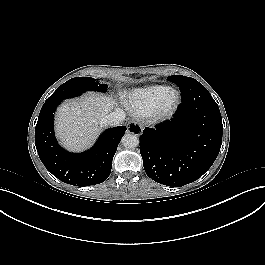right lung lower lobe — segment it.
<instances>
[{
    "mask_svg": "<svg viewBox=\"0 0 265 265\" xmlns=\"http://www.w3.org/2000/svg\"><path fill=\"white\" fill-rule=\"evenodd\" d=\"M60 102L42 106L35 127V145L45 167L59 180L74 186H90L104 182L110 175L112 159L126 127L104 131L88 151L74 154L65 151L56 141L54 112Z\"/></svg>",
    "mask_w": 265,
    "mask_h": 265,
    "instance_id": "obj_1",
    "label": "right lung lower lobe"
}]
</instances>
